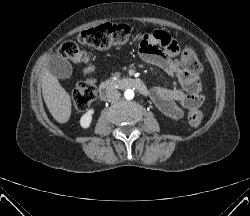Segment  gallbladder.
<instances>
[{
  "instance_id": "1",
  "label": "gallbladder",
  "mask_w": 250,
  "mask_h": 216,
  "mask_svg": "<svg viewBox=\"0 0 250 216\" xmlns=\"http://www.w3.org/2000/svg\"><path fill=\"white\" fill-rule=\"evenodd\" d=\"M48 70L60 79L70 78L73 72L71 63L62 55H53L48 62Z\"/></svg>"
}]
</instances>
